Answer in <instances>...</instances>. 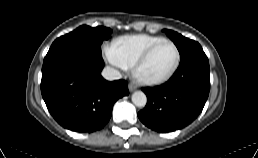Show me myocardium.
<instances>
[{"instance_id":"f54148a6","label":"myocardium","mask_w":258,"mask_h":158,"mask_svg":"<svg viewBox=\"0 0 258 158\" xmlns=\"http://www.w3.org/2000/svg\"><path fill=\"white\" fill-rule=\"evenodd\" d=\"M164 43H169V44L173 45L174 48H175V51H176V61H175L174 65L172 66V68L167 73H165L161 77H158V78L145 77L141 73V69H142L143 65L146 63V61L151 56V54L160 45H162ZM180 62H181V53H180V50H179L178 46L172 40L162 39L161 41L157 42L156 44L151 46L149 49H147L143 53V55L139 58V60L134 65V71H135V74H136V76L138 77V79L140 81H142V82H144L146 84H149V85H159V84H162V83L168 81L174 75V73L177 71V69H178V67L180 65Z\"/></svg>"}]
</instances>
